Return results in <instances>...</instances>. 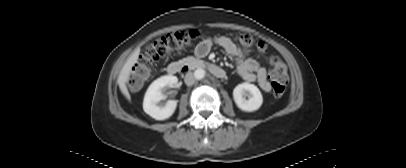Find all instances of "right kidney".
<instances>
[{
  "label": "right kidney",
  "mask_w": 406,
  "mask_h": 168,
  "mask_svg": "<svg viewBox=\"0 0 406 168\" xmlns=\"http://www.w3.org/2000/svg\"><path fill=\"white\" fill-rule=\"evenodd\" d=\"M178 82V78L172 75H166L155 80L148 88L144 101L143 109L146 114L156 120H165L171 117L177 107V101L169 100L163 106L160 101L164 99L161 89L164 87H174Z\"/></svg>",
  "instance_id": "ca27d5eb"
}]
</instances>
